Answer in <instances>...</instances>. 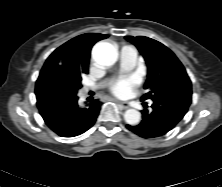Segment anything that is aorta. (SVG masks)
<instances>
[{"mask_svg": "<svg viewBox=\"0 0 222 187\" xmlns=\"http://www.w3.org/2000/svg\"><path fill=\"white\" fill-rule=\"evenodd\" d=\"M94 61L101 66H112L117 60L116 48L108 42H99L92 49ZM127 124L135 126L141 120V114L135 109H128L124 113Z\"/></svg>", "mask_w": 222, "mask_h": 187, "instance_id": "1", "label": "aorta"}]
</instances>
